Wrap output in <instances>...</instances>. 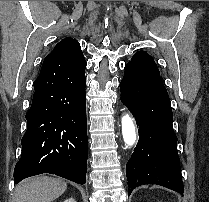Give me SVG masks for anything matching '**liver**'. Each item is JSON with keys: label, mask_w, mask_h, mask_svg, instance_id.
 Masks as SVG:
<instances>
[{"label": "liver", "mask_w": 209, "mask_h": 202, "mask_svg": "<svg viewBox=\"0 0 209 202\" xmlns=\"http://www.w3.org/2000/svg\"><path fill=\"white\" fill-rule=\"evenodd\" d=\"M67 189L60 178L38 176L21 182L14 192L12 202H51Z\"/></svg>", "instance_id": "6515ba94"}]
</instances>
